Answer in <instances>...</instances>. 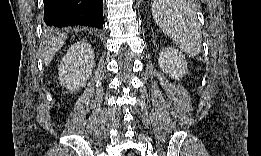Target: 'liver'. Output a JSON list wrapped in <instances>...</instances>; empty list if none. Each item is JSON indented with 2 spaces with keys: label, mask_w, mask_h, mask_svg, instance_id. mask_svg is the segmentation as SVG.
<instances>
[{
  "label": "liver",
  "mask_w": 261,
  "mask_h": 156,
  "mask_svg": "<svg viewBox=\"0 0 261 156\" xmlns=\"http://www.w3.org/2000/svg\"><path fill=\"white\" fill-rule=\"evenodd\" d=\"M66 39H67V34L62 33V34H58L53 38H50L45 42L41 54L45 66L49 65L56 52L64 45Z\"/></svg>",
  "instance_id": "liver-1"
}]
</instances>
